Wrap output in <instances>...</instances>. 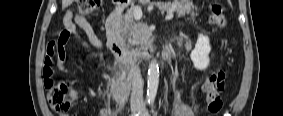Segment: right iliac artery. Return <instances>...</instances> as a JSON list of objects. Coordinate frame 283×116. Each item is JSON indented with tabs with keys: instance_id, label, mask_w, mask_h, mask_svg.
<instances>
[{
	"instance_id": "1",
	"label": "right iliac artery",
	"mask_w": 283,
	"mask_h": 116,
	"mask_svg": "<svg viewBox=\"0 0 283 116\" xmlns=\"http://www.w3.org/2000/svg\"><path fill=\"white\" fill-rule=\"evenodd\" d=\"M139 114H140V111L137 114H135V116H138Z\"/></svg>"
}]
</instances>
